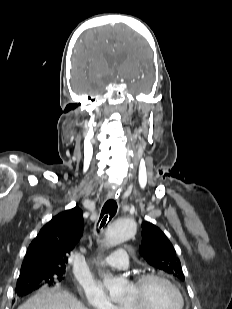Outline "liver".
I'll use <instances>...</instances> for the list:
<instances>
[{
  "mask_svg": "<svg viewBox=\"0 0 232 309\" xmlns=\"http://www.w3.org/2000/svg\"><path fill=\"white\" fill-rule=\"evenodd\" d=\"M18 309H88L73 295L60 288H44Z\"/></svg>",
  "mask_w": 232,
  "mask_h": 309,
  "instance_id": "obj_1",
  "label": "liver"
}]
</instances>
